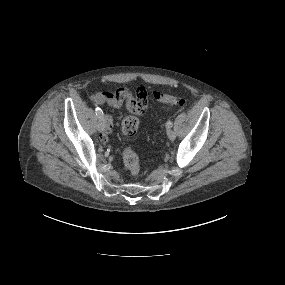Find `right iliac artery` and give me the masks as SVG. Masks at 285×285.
I'll use <instances>...</instances> for the list:
<instances>
[{"mask_svg":"<svg viewBox=\"0 0 285 285\" xmlns=\"http://www.w3.org/2000/svg\"><path fill=\"white\" fill-rule=\"evenodd\" d=\"M95 111H96V112H95V113H96V116H97L98 118H100V117L103 116V111H102L99 107H97Z\"/></svg>","mask_w":285,"mask_h":285,"instance_id":"obj_1","label":"right iliac artery"}]
</instances>
